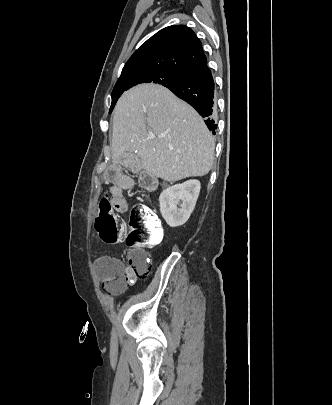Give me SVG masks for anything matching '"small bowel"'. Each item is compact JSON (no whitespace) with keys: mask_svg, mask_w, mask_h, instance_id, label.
<instances>
[{"mask_svg":"<svg viewBox=\"0 0 332 405\" xmlns=\"http://www.w3.org/2000/svg\"><path fill=\"white\" fill-rule=\"evenodd\" d=\"M123 168V162H108L101 179L102 186H114L112 187V194L109 198V205L113 206L117 215H125L127 213V205L124 200L122 188L118 187L121 184V180L125 186H128L130 182L128 176H123ZM94 265L98 274L105 281L111 279L117 273L126 271V268H124L120 260L112 256L98 257L95 259Z\"/></svg>","mask_w":332,"mask_h":405,"instance_id":"1","label":"small bowel"}]
</instances>
